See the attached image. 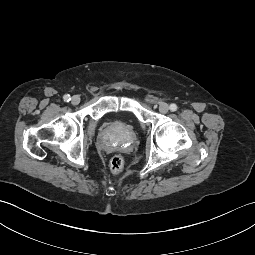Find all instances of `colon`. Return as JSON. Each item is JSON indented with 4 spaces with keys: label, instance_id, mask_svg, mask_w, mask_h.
Listing matches in <instances>:
<instances>
[{
    "label": "colon",
    "instance_id": "obj_1",
    "mask_svg": "<svg viewBox=\"0 0 255 255\" xmlns=\"http://www.w3.org/2000/svg\"><path fill=\"white\" fill-rule=\"evenodd\" d=\"M125 165L124 158L121 155H114L109 161V169L113 174H119L123 171Z\"/></svg>",
    "mask_w": 255,
    "mask_h": 255
}]
</instances>
